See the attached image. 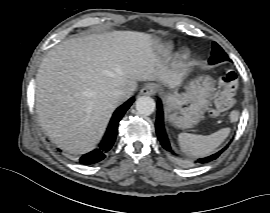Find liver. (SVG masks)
Segmentation results:
<instances>
[{
    "label": "liver",
    "instance_id": "obj_1",
    "mask_svg": "<svg viewBox=\"0 0 270 213\" xmlns=\"http://www.w3.org/2000/svg\"><path fill=\"white\" fill-rule=\"evenodd\" d=\"M156 44L146 33L113 31L53 47L36 77V111L50 140L73 154L89 152L123 101L110 97L113 89L125 90L128 99L137 81L180 85L182 74L164 66Z\"/></svg>",
    "mask_w": 270,
    "mask_h": 213
}]
</instances>
